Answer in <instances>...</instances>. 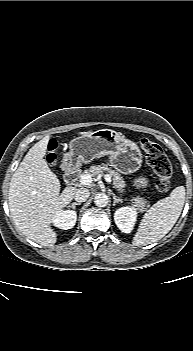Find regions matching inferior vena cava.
Here are the masks:
<instances>
[{
  "label": "inferior vena cava",
  "instance_id": "1",
  "mask_svg": "<svg viewBox=\"0 0 193 351\" xmlns=\"http://www.w3.org/2000/svg\"><path fill=\"white\" fill-rule=\"evenodd\" d=\"M89 195H90L89 190L84 187H81L75 191L74 199L77 202H85L88 199Z\"/></svg>",
  "mask_w": 193,
  "mask_h": 351
}]
</instances>
